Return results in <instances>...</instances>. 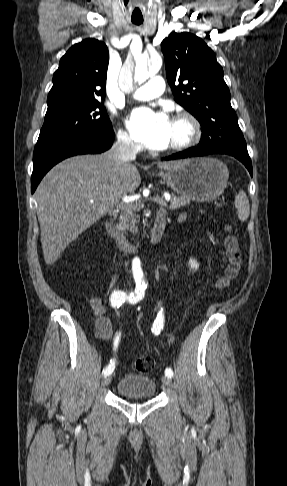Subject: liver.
<instances>
[{"instance_id":"1","label":"liver","mask_w":287,"mask_h":486,"mask_svg":"<svg viewBox=\"0 0 287 486\" xmlns=\"http://www.w3.org/2000/svg\"><path fill=\"white\" fill-rule=\"evenodd\" d=\"M181 162L164 161L157 166L170 170ZM140 184L137 168L117 164L109 152L74 156L52 168L35 192L46 264H54L72 241Z\"/></svg>"}]
</instances>
